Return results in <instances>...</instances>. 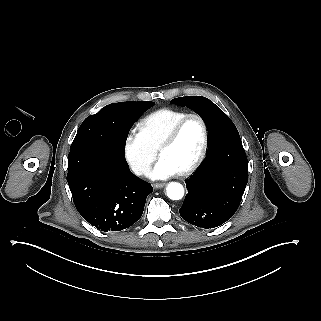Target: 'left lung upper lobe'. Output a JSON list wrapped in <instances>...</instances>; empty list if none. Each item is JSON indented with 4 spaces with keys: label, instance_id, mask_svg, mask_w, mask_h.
I'll use <instances>...</instances> for the list:
<instances>
[{
    "label": "left lung upper lobe",
    "instance_id": "1",
    "mask_svg": "<svg viewBox=\"0 0 321 321\" xmlns=\"http://www.w3.org/2000/svg\"><path fill=\"white\" fill-rule=\"evenodd\" d=\"M171 103L187 106L204 120L209 131V146L225 137L239 135L230 118L213 102L201 96L179 97Z\"/></svg>",
    "mask_w": 321,
    "mask_h": 321
}]
</instances>
